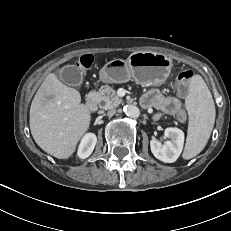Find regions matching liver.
Wrapping results in <instances>:
<instances>
[{
	"instance_id": "obj_1",
	"label": "liver",
	"mask_w": 231,
	"mask_h": 231,
	"mask_svg": "<svg viewBox=\"0 0 231 231\" xmlns=\"http://www.w3.org/2000/svg\"><path fill=\"white\" fill-rule=\"evenodd\" d=\"M91 113L80 93L63 84L54 73L47 75L30 107V130L46 153L66 159L88 131Z\"/></svg>"
}]
</instances>
